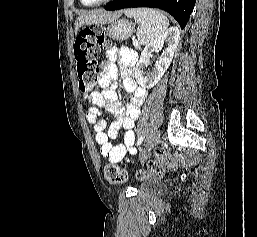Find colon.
I'll use <instances>...</instances> for the list:
<instances>
[{
    "label": "colon",
    "mask_w": 257,
    "mask_h": 237,
    "mask_svg": "<svg viewBox=\"0 0 257 237\" xmlns=\"http://www.w3.org/2000/svg\"><path fill=\"white\" fill-rule=\"evenodd\" d=\"M110 45L109 40L103 31L95 26L83 28L76 37L74 43V53L77 66L78 86L83 93L89 92L97 81L98 75V54L101 48ZM176 164L172 155L160 150L157 152V159L151 161L147 168L139 170L136 176L144 178H160L164 175L166 169L174 168ZM104 175L111 184H120L127 179V173L120 166L114 163L104 165ZM188 178L187 174L182 177Z\"/></svg>",
    "instance_id": "colon-1"
}]
</instances>
